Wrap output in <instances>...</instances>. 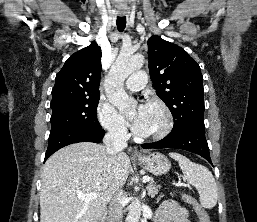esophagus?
I'll list each match as a JSON object with an SVG mask.
<instances>
[{
  "label": "esophagus",
  "mask_w": 257,
  "mask_h": 222,
  "mask_svg": "<svg viewBox=\"0 0 257 222\" xmlns=\"http://www.w3.org/2000/svg\"><path fill=\"white\" fill-rule=\"evenodd\" d=\"M119 14H120L121 16H123V15H125V12L120 11ZM132 155H133L134 157H139V156H141V154L139 153V151H138L137 149H134V150L132 151Z\"/></svg>",
  "instance_id": "esophagus-1"
}]
</instances>
